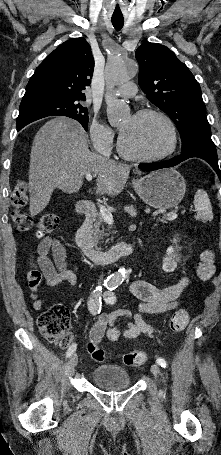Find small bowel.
Returning a JSON list of instances; mask_svg holds the SVG:
<instances>
[{
	"label": "small bowel",
	"mask_w": 221,
	"mask_h": 455,
	"mask_svg": "<svg viewBox=\"0 0 221 455\" xmlns=\"http://www.w3.org/2000/svg\"><path fill=\"white\" fill-rule=\"evenodd\" d=\"M34 267L35 269L28 274L27 279L29 295L34 300L36 309H40L43 304L38 292V287L42 282L46 287H55L62 282L73 287L78 282L76 270L67 267L64 246L55 238H45L38 245ZM188 283L187 277H182L177 283L166 287H157L144 280L133 281L129 290L139 300L137 311L132 313L120 308L111 313L102 312L91 328L90 339L98 343L104 337L108 341L114 342L121 336L127 339L151 336L154 328L145 321V315L176 310ZM120 318L124 319L127 324L123 333L116 326V322Z\"/></svg>",
	"instance_id": "obj_1"
}]
</instances>
